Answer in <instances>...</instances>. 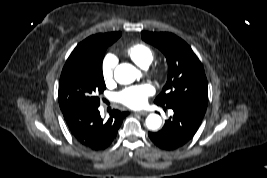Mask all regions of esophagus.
I'll use <instances>...</instances> for the list:
<instances>
[{"label":"esophagus","mask_w":267,"mask_h":178,"mask_svg":"<svg viewBox=\"0 0 267 178\" xmlns=\"http://www.w3.org/2000/svg\"><path fill=\"white\" fill-rule=\"evenodd\" d=\"M136 114H139V115H147L148 112L147 111H137L135 112Z\"/></svg>","instance_id":"34e87169"}]
</instances>
